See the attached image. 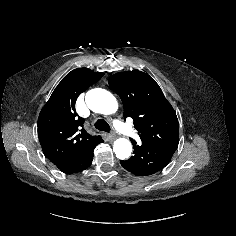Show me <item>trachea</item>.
<instances>
[{
	"instance_id": "3493384b",
	"label": "trachea",
	"mask_w": 236,
	"mask_h": 236,
	"mask_svg": "<svg viewBox=\"0 0 236 236\" xmlns=\"http://www.w3.org/2000/svg\"><path fill=\"white\" fill-rule=\"evenodd\" d=\"M95 128L97 130H100V131H104V132H110V126L109 124L103 120V119H98L96 122H95Z\"/></svg>"
}]
</instances>
